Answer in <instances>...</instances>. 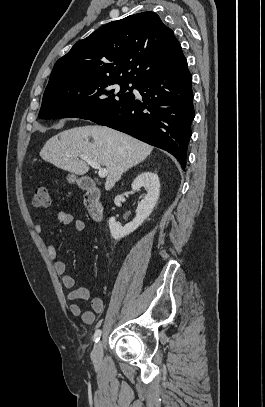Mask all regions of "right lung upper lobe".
<instances>
[{
  "label": "right lung upper lobe",
  "mask_w": 265,
  "mask_h": 407,
  "mask_svg": "<svg viewBox=\"0 0 265 407\" xmlns=\"http://www.w3.org/2000/svg\"><path fill=\"white\" fill-rule=\"evenodd\" d=\"M183 55L173 31L154 12L110 22L78 41L60 58L49 83L89 79L139 84Z\"/></svg>",
  "instance_id": "obj_1"
}]
</instances>
